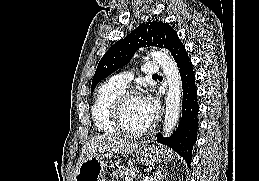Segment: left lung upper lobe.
Returning <instances> with one entry per match:
<instances>
[{"instance_id":"1","label":"left lung upper lobe","mask_w":259,"mask_h":181,"mask_svg":"<svg viewBox=\"0 0 259 181\" xmlns=\"http://www.w3.org/2000/svg\"><path fill=\"white\" fill-rule=\"evenodd\" d=\"M179 40L177 33L168 23L149 21L140 24L123 40L111 46L101 58L92 79L91 91L93 92L103 78L128 63L139 48L156 46L171 51Z\"/></svg>"}]
</instances>
